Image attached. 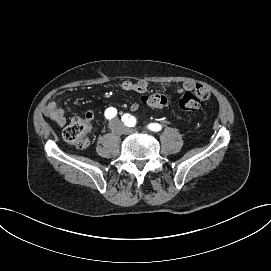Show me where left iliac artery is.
Here are the masks:
<instances>
[{
	"label": "left iliac artery",
	"mask_w": 271,
	"mask_h": 271,
	"mask_svg": "<svg viewBox=\"0 0 271 271\" xmlns=\"http://www.w3.org/2000/svg\"><path fill=\"white\" fill-rule=\"evenodd\" d=\"M122 122L125 126L132 127L135 124L136 119L132 114L127 113L122 117ZM148 129L157 132L161 130V125L158 123H151L148 125Z\"/></svg>",
	"instance_id": "44dca946"
}]
</instances>
